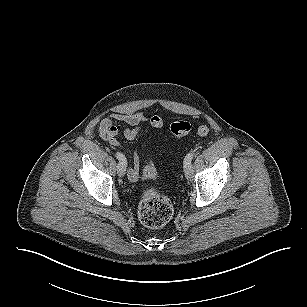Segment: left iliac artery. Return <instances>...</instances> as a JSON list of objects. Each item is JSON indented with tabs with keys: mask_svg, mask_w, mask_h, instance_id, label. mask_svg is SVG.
<instances>
[{
	"mask_svg": "<svg viewBox=\"0 0 307 307\" xmlns=\"http://www.w3.org/2000/svg\"><path fill=\"white\" fill-rule=\"evenodd\" d=\"M193 157H194V153H193V152H190V153H188V154L185 156V158H184V167L187 166V165H189V164L191 163Z\"/></svg>",
	"mask_w": 307,
	"mask_h": 307,
	"instance_id": "44dca946",
	"label": "left iliac artery"
}]
</instances>
